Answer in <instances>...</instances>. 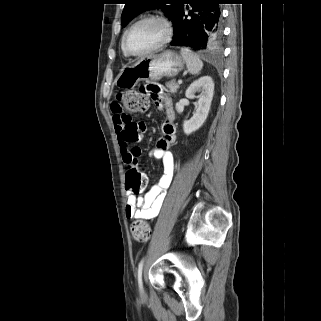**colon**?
Here are the masks:
<instances>
[{"mask_svg": "<svg viewBox=\"0 0 321 321\" xmlns=\"http://www.w3.org/2000/svg\"><path fill=\"white\" fill-rule=\"evenodd\" d=\"M152 98V97H151ZM119 111L126 117L132 114L143 113L148 109L149 98H143L142 93L127 91L118 94ZM147 184L146 176L134 163L126 174V186L133 193L141 192ZM131 234L138 242H147L151 237V227L145 221H135L131 226Z\"/></svg>", "mask_w": 321, "mask_h": 321, "instance_id": "obj_1", "label": "colon"}]
</instances>
